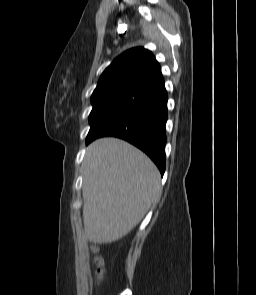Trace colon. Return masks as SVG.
<instances>
[{"label": "colon", "mask_w": 256, "mask_h": 295, "mask_svg": "<svg viewBox=\"0 0 256 295\" xmlns=\"http://www.w3.org/2000/svg\"><path fill=\"white\" fill-rule=\"evenodd\" d=\"M94 263H95V265H96V267H97V269H98V273H99V275H101V272H102V264H103L101 258L96 257V258L94 259Z\"/></svg>", "instance_id": "5ec220e1"}]
</instances>
